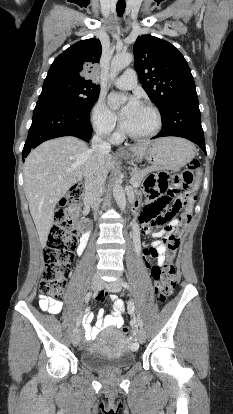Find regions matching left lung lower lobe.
Wrapping results in <instances>:
<instances>
[{"instance_id":"0a47b994","label":"left lung lower lobe","mask_w":233,"mask_h":414,"mask_svg":"<svg viewBox=\"0 0 233 414\" xmlns=\"http://www.w3.org/2000/svg\"><path fill=\"white\" fill-rule=\"evenodd\" d=\"M161 117L162 129L154 138L165 136L186 138L196 143L207 154L197 96L175 101Z\"/></svg>"}]
</instances>
